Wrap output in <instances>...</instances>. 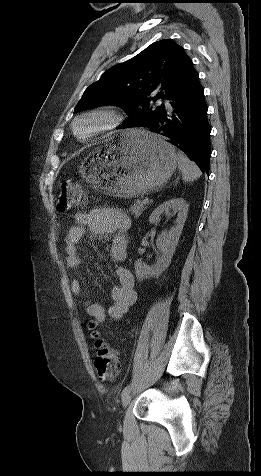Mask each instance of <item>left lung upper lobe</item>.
<instances>
[{"mask_svg": "<svg viewBox=\"0 0 261 476\" xmlns=\"http://www.w3.org/2000/svg\"><path fill=\"white\" fill-rule=\"evenodd\" d=\"M193 69L180 45L169 39L154 42L130 60L111 67L91 84L74 113L98 105H116L129 115L118 128L142 126L164 109L163 105L155 108L150 102L169 99Z\"/></svg>", "mask_w": 261, "mask_h": 476, "instance_id": "1", "label": "left lung upper lobe"}]
</instances>
